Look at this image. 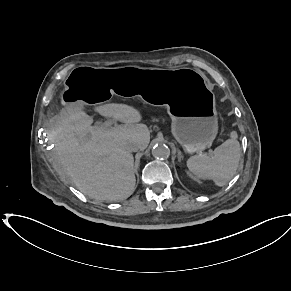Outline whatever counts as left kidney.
<instances>
[{
  "mask_svg": "<svg viewBox=\"0 0 291 291\" xmlns=\"http://www.w3.org/2000/svg\"><path fill=\"white\" fill-rule=\"evenodd\" d=\"M188 175H189L191 178H193V176H192L191 174L188 173Z\"/></svg>",
  "mask_w": 291,
  "mask_h": 291,
  "instance_id": "1",
  "label": "left kidney"
}]
</instances>
